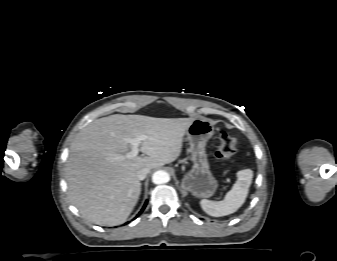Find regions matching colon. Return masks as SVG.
<instances>
[{
  "mask_svg": "<svg viewBox=\"0 0 337 261\" xmlns=\"http://www.w3.org/2000/svg\"><path fill=\"white\" fill-rule=\"evenodd\" d=\"M236 152V139L229 133L222 131L219 135V146L215 156L217 159L225 161L231 159Z\"/></svg>",
  "mask_w": 337,
  "mask_h": 261,
  "instance_id": "colon-1",
  "label": "colon"
}]
</instances>
